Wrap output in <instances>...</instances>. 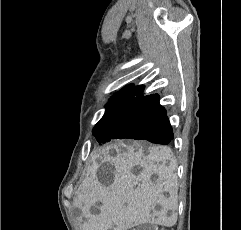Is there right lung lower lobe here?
I'll return each instance as SVG.
<instances>
[{
	"label": "right lung lower lobe",
	"instance_id": "obj_1",
	"mask_svg": "<svg viewBox=\"0 0 241 230\" xmlns=\"http://www.w3.org/2000/svg\"><path fill=\"white\" fill-rule=\"evenodd\" d=\"M129 114V113H127ZM144 119L135 133L138 140H147L156 144H169L173 139V132L166 110L159 104V96H155L142 114Z\"/></svg>",
	"mask_w": 241,
	"mask_h": 230
}]
</instances>
